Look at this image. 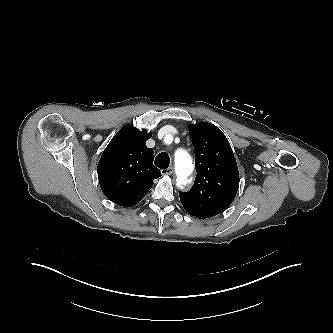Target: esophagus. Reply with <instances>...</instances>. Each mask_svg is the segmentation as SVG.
<instances>
[{
	"mask_svg": "<svg viewBox=\"0 0 333 333\" xmlns=\"http://www.w3.org/2000/svg\"><path fill=\"white\" fill-rule=\"evenodd\" d=\"M174 169L173 167H169L167 169H162L161 174L162 175H171L173 173Z\"/></svg>",
	"mask_w": 333,
	"mask_h": 333,
	"instance_id": "34e87169",
	"label": "esophagus"
}]
</instances>
